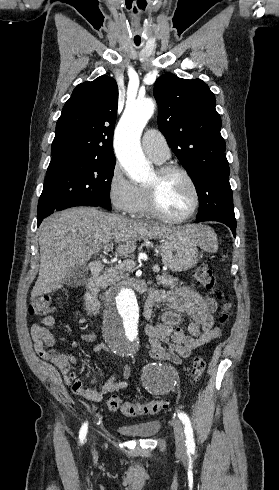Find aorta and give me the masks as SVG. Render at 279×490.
<instances>
[{"label": "aorta", "instance_id": "aorta-1", "mask_svg": "<svg viewBox=\"0 0 279 490\" xmlns=\"http://www.w3.org/2000/svg\"><path fill=\"white\" fill-rule=\"evenodd\" d=\"M155 110L152 99L126 105L114 133L116 156L129 177L136 182L148 179L151 167L140 146L142 131ZM139 301L131 288H121L107 300L103 331L106 340L124 353L139 340Z\"/></svg>", "mask_w": 279, "mask_h": 490}]
</instances>
